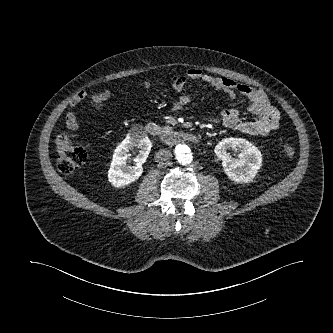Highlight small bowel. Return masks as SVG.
<instances>
[{
	"instance_id": "small-bowel-1",
	"label": "small bowel",
	"mask_w": 333,
	"mask_h": 333,
	"mask_svg": "<svg viewBox=\"0 0 333 333\" xmlns=\"http://www.w3.org/2000/svg\"><path fill=\"white\" fill-rule=\"evenodd\" d=\"M192 81H201L216 90L227 93L231 98L236 94H242L248 98V110L256 116V119L248 120L240 116L237 106H229L220 112L221 122L231 128L250 136H266L279 127L280 114L273 107L265 92L259 88L239 83L226 77H215L204 73L201 69L190 68L184 76L171 77L172 88L176 93L182 92ZM110 97V92L105 90L88 94L80 91L69 102V110L66 113V126L73 131L78 130L79 123L73 108L83 100L89 98L96 106H101ZM194 98V94H183L176 97L171 107L179 110L188 105Z\"/></svg>"
}]
</instances>
